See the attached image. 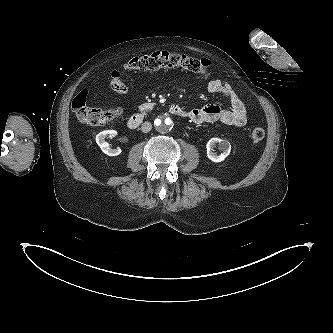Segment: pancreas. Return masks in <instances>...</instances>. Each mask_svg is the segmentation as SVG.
Returning a JSON list of instances; mask_svg holds the SVG:
<instances>
[{
    "label": "pancreas",
    "instance_id": "pancreas-1",
    "mask_svg": "<svg viewBox=\"0 0 333 333\" xmlns=\"http://www.w3.org/2000/svg\"><path fill=\"white\" fill-rule=\"evenodd\" d=\"M155 106V103H144L139 106V110L145 114L146 112L152 110Z\"/></svg>",
    "mask_w": 333,
    "mask_h": 333
}]
</instances>
